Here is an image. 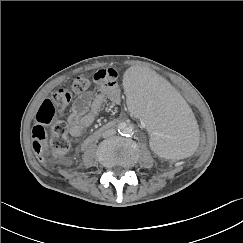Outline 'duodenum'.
I'll use <instances>...</instances> for the list:
<instances>
[{"instance_id":"obj_1","label":"duodenum","mask_w":243,"mask_h":243,"mask_svg":"<svg viewBox=\"0 0 243 243\" xmlns=\"http://www.w3.org/2000/svg\"><path fill=\"white\" fill-rule=\"evenodd\" d=\"M111 125H104L101 128L95 130L93 133H91L83 142L82 147L87 148L94 140L99 138L104 131L109 129Z\"/></svg>"}]
</instances>
